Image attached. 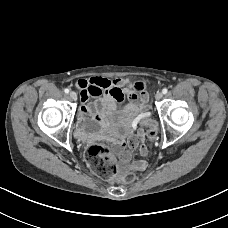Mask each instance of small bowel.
Returning <instances> with one entry per match:
<instances>
[{
  "label": "small bowel",
  "instance_id": "small-bowel-1",
  "mask_svg": "<svg viewBox=\"0 0 228 228\" xmlns=\"http://www.w3.org/2000/svg\"><path fill=\"white\" fill-rule=\"evenodd\" d=\"M80 90L81 107L78 114L77 135L82 140L90 139V135L102 124L106 113L117 104L123 105L134 114L136 119L146 117L148 109V95L136 89V85L128 78L109 80L102 77L80 79L77 82ZM93 101H90V99ZM128 114V115H129ZM115 146L119 152L123 169H131L137 172L144 171L147 164L144 160L129 163L131 159L130 149L139 148L141 156H146L147 148L144 143V135L141 130L128 137L126 141L118 140Z\"/></svg>",
  "mask_w": 228,
  "mask_h": 228
}]
</instances>
